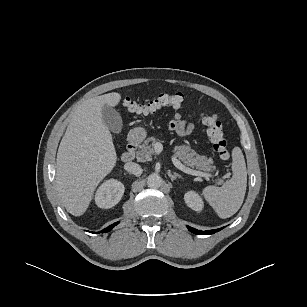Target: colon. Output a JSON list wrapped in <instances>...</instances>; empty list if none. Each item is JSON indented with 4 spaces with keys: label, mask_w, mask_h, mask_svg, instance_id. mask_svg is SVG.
I'll return each instance as SVG.
<instances>
[{
    "label": "colon",
    "mask_w": 307,
    "mask_h": 307,
    "mask_svg": "<svg viewBox=\"0 0 307 307\" xmlns=\"http://www.w3.org/2000/svg\"><path fill=\"white\" fill-rule=\"evenodd\" d=\"M183 101L184 97L182 94L162 93L155 99L147 102H137L126 98L123 104L130 112L139 115H149L166 107L179 108L183 104ZM202 120L207 126V135L214 150L222 160H228L230 158L228 141L224 135L223 127L218 116L213 113H205L202 116Z\"/></svg>",
    "instance_id": "1"
}]
</instances>
